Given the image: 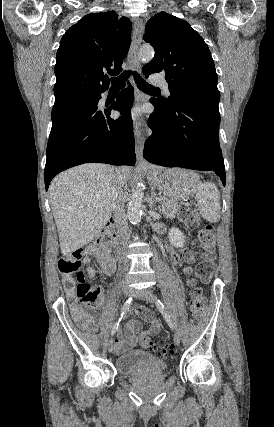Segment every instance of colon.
Masks as SVG:
<instances>
[{"label":"colon","mask_w":274,"mask_h":427,"mask_svg":"<svg viewBox=\"0 0 274 427\" xmlns=\"http://www.w3.org/2000/svg\"><path fill=\"white\" fill-rule=\"evenodd\" d=\"M179 217L189 228L198 226L200 221L198 213L189 207H182L179 211ZM197 237L200 248H216L213 224L208 223L203 226ZM59 272L63 276L64 288L72 301L89 304L96 302L102 295V290L99 286H93L85 279L81 250H75L63 256L59 261ZM189 282L192 287L189 292L188 309L191 313L204 317L205 311L203 310L202 302H205L206 295L203 293L202 288L196 284L194 275H190ZM139 342L144 349L154 351L159 356L167 357L173 354L172 346L166 347L147 336L140 337Z\"/></svg>","instance_id":"1"}]
</instances>
